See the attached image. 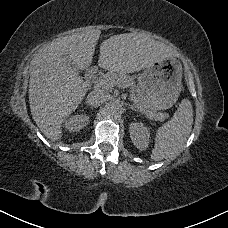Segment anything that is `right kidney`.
<instances>
[{
    "mask_svg": "<svg viewBox=\"0 0 228 228\" xmlns=\"http://www.w3.org/2000/svg\"><path fill=\"white\" fill-rule=\"evenodd\" d=\"M88 124H89V117L83 114L81 115L77 114V115L67 117L64 121V127L68 131H73V132L80 131Z\"/></svg>",
    "mask_w": 228,
    "mask_h": 228,
    "instance_id": "ca27d5eb",
    "label": "right kidney"
}]
</instances>
